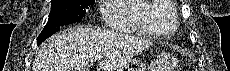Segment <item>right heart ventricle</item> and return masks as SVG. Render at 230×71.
Returning <instances> with one entry per match:
<instances>
[{"mask_svg": "<svg viewBox=\"0 0 230 71\" xmlns=\"http://www.w3.org/2000/svg\"><path fill=\"white\" fill-rule=\"evenodd\" d=\"M109 26L121 32L164 37L176 30L170 0H122L107 7Z\"/></svg>", "mask_w": 230, "mask_h": 71, "instance_id": "right-heart-ventricle-1", "label": "right heart ventricle"}]
</instances>
